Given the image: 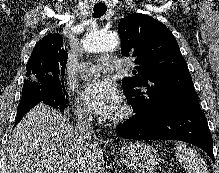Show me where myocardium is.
<instances>
[{"label":"myocardium","instance_id":"1","mask_svg":"<svg viewBox=\"0 0 219 173\" xmlns=\"http://www.w3.org/2000/svg\"><path fill=\"white\" fill-rule=\"evenodd\" d=\"M134 114V110L133 107L128 104L125 103L120 110L118 111V113L114 116L113 121L115 123H124L126 121H128Z\"/></svg>","mask_w":219,"mask_h":173}]
</instances>
